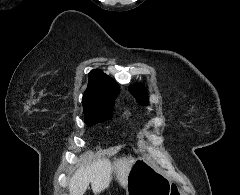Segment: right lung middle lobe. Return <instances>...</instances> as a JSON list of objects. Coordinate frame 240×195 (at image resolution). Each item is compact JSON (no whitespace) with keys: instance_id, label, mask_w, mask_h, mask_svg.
Listing matches in <instances>:
<instances>
[{"instance_id":"right-lung-middle-lobe-1","label":"right lung middle lobe","mask_w":240,"mask_h":195,"mask_svg":"<svg viewBox=\"0 0 240 195\" xmlns=\"http://www.w3.org/2000/svg\"><path fill=\"white\" fill-rule=\"evenodd\" d=\"M82 104L85 114V123L88 126L104 122L113 115L114 103L112 102H82Z\"/></svg>"}]
</instances>
